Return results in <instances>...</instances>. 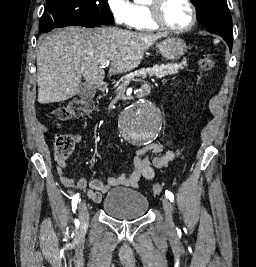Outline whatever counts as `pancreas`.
<instances>
[{"instance_id": "obj_1", "label": "pancreas", "mask_w": 256, "mask_h": 267, "mask_svg": "<svg viewBox=\"0 0 256 267\" xmlns=\"http://www.w3.org/2000/svg\"><path fill=\"white\" fill-rule=\"evenodd\" d=\"M184 66H188L186 60H183L181 64H166V66H155V68H147L146 72H150V76H157V78H163V76H169V74H177V70H184ZM140 76V74H138ZM135 80V76H125L123 80H120V86H115L119 94H124L127 86L130 82Z\"/></svg>"}]
</instances>
